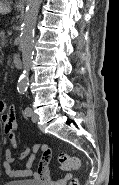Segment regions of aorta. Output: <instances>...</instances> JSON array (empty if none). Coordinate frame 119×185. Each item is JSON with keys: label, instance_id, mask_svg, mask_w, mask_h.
<instances>
[{"label": "aorta", "instance_id": "aorta-1", "mask_svg": "<svg viewBox=\"0 0 119 185\" xmlns=\"http://www.w3.org/2000/svg\"><path fill=\"white\" fill-rule=\"evenodd\" d=\"M42 0H27L25 15L20 34V49L22 52L23 72L19 77L17 90L23 93L27 89L29 70L33 59V41L38 12Z\"/></svg>", "mask_w": 119, "mask_h": 185}]
</instances>
